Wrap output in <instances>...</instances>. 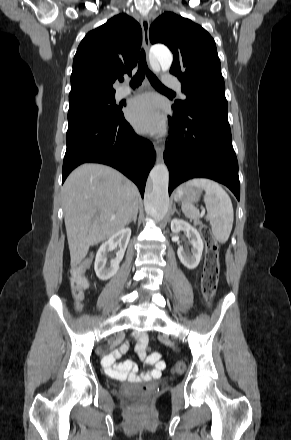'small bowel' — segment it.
<instances>
[{"instance_id": "obj_1", "label": "small bowel", "mask_w": 291, "mask_h": 440, "mask_svg": "<svg viewBox=\"0 0 291 440\" xmlns=\"http://www.w3.org/2000/svg\"><path fill=\"white\" fill-rule=\"evenodd\" d=\"M135 339L138 340L136 345V351L140 354V356L145 359L147 364L153 365L154 368L152 371L138 374V367L133 360H126L122 363H116V359L118 357L117 351H113V353L107 356L104 359V368L105 371L117 378H128L133 382H141V381H149L153 378H158L161 376L162 371L165 369V363L159 357V359L154 360L150 356L145 358V354L143 349L147 343V335L144 332H138L135 336ZM129 349V344L124 343L120 346V351L126 352ZM186 367L183 364H179L176 366V370L179 372H184Z\"/></svg>"}]
</instances>
